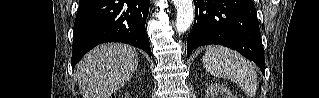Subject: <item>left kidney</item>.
Segmentation results:
<instances>
[{"mask_svg": "<svg viewBox=\"0 0 319 98\" xmlns=\"http://www.w3.org/2000/svg\"><path fill=\"white\" fill-rule=\"evenodd\" d=\"M205 98H236V96L226 86L212 84L207 88Z\"/></svg>", "mask_w": 319, "mask_h": 98, "instance_id": "5707ae66", "label": "left kidney"}]
</instances>
